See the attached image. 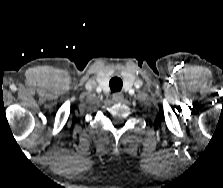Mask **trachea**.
<instances>
[{"label":"trachea","mask_w":223,"mask_h":188,"mask_svg":"<svg viewBox=\"0 0 223 188\" xmlns=\"http://www.w3.org/2000/svg\"><path fill=\"white\" fill-rule=\"evenodd\" d=\"M109 86L112 92H117L122 89L123 82L120 78L113 77L109 82Z\"/></svg>","instance_id":"1"}]
</instances>
